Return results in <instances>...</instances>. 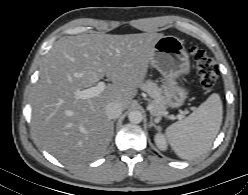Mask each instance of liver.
Listing matches in <instances>:
<instances>
[{
	"instance_id": "6515ba94",
	"label": "liver",
	"mask_w": 248,
	"mask_h": 195,
	"mask_svg": "<svg viewBox=\"0 0 248 195\" xmlns=\"http://www.w3.org/2000/svg\"><path fill=\"white\" fill-rule=\"evenodd\" d=\"M162 33L81 34L59 40L44 57L32 98V127L42 146L66 165L94 160L113 132L110 102L127 109L144 83ZM106 76L112 82L92 98L76 93Z\"/></svg>"
}]
</instances>
